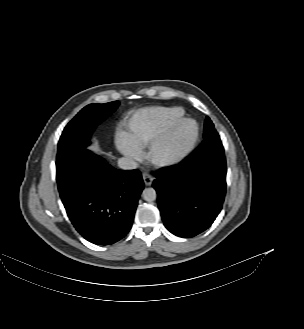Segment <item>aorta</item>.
I'll list each match as a JSON object with an SVG mask.
<instances>
[{"label":"aorta","mask_w":304,"mask_h":329,"mask_svg":"<svg viewBox=\"0 0 304 329\" xmlns=\"http://www.w3.org/2000/svg\"><path fill=\"white\" fill-rule=\"evenodd\" d=\"M142 197L147 202H152L156 199L157 194L153 188H145L142 192Z\"/></svg>","instance_id":"aorta-1"}]
</instances>
